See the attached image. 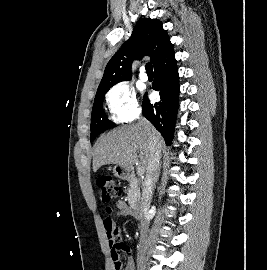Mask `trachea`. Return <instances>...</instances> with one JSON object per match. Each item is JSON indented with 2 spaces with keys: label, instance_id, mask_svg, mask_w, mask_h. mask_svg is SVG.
Here are the masks:
<instances>
[{
  "label": "trachea",
  "instance_id": "obj_1",
  "mask_svg": "<svg viewBox=\"0 0 267 270\" xmlns=\"http://www.w3.org/2000/svg\"><path fill=\"white\" fill-rule=\"evenodd\" d=\"M145 68L147 73H153V66L151 63H147Z\"/></svg>",
  "mask_w": 267,
  "mask_h": 270
}]
</instances>
